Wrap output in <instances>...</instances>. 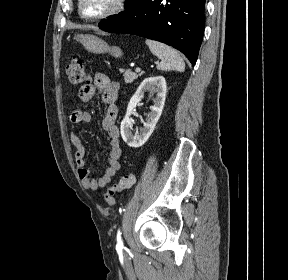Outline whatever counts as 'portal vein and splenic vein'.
Here are the masks:
<instances>
[{
	"label": "portal vein and splenic vein",
	"instance_id": "obj_1",
	"mask_svg": "<svg viewBox=\"0 0 288 280\" xmlns=\"http://www.w3.org/2000/svg\"><path fill=\"white\" fill-rule=\"evenodd\" d=\"M135 71H136V72H140V71H141V68L137 67V68L135 69Z\"/></svg>",
	"mask_w": 288,
	"mask_h": 280
}]
</instances>
